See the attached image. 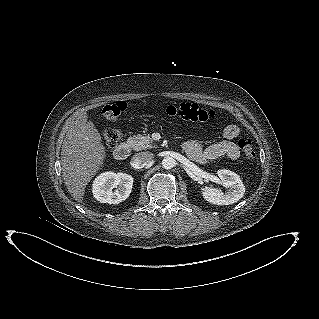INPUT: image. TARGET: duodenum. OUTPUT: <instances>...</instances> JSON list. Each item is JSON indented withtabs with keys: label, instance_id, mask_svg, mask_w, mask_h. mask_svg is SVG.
<instances>
[{
	"label": "duodenum",
	"instance_id": "410a0bca",
	"mask_svg": "<svg viewBox=\"0 0 319 319\" xmlns=\"http://www.w3.org/2000/svg\"><path fill=\"white\" fill-rule=\"evenodd\" d=\"M130 153V145L127 142H123L119 144L115 149H114V157L117 160H124L129 156Z\"/></svg>",
	"mask_w": 319,
	"mask_h": 319
}]
</instances>
